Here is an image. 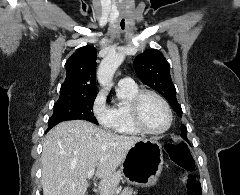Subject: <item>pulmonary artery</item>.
I'll return each mask as SVG.
<instances>
[{"label":"pulmonary artery","mask_w":240,"mask_h":195,"mask_svg":"<svg viewBox=\"0 0 240 195\" xmlns=\"http://www.w3.org/2000/svg\"><path fill=\"white\" fill-rule=\"evenodd\" d=\"M132 78H121V83H132Z\"/></svg>","instance_id":"pulmonary-artery-1"}]
</instances>
